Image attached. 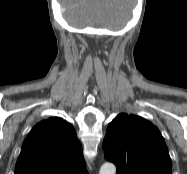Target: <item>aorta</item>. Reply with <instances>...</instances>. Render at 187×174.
<instances>
[{
    "mask_svg": "<svg viewBox=\"0 0 187 174\" xmlns=\"http://www.w3.org/2000/svg\"><path fill=\"white\" fill-rule=\"evenodd\" d=\"M99 174H116V166L113 163H104Z\"/></svg>",
    "mask_w": 187,
    "mask_h": 174,
    "instance_id": "obj_1",
    "label": "aorta"
}]
</instances>
